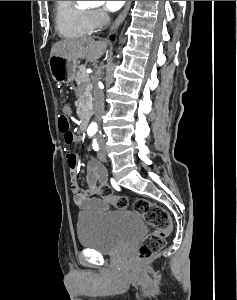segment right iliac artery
Returning <instances> with one entry per match:
<instances>
[{
  "mask_svg": "<svg viewBox=\"0 0 237 300\" xmlns=\"http://www.w3.org/2000/svg\"><path fill=\"white\" fill-rule=\"evenodd\" d=\"M87 133H88L89 136H93L95 134L94 131H90V130H88Z\"/></svg>",
  "mask_w": 237,
  "mask_h": 300,
  "instance_id": "1",
  "label": "right iliac artery"
}]
</instances>
